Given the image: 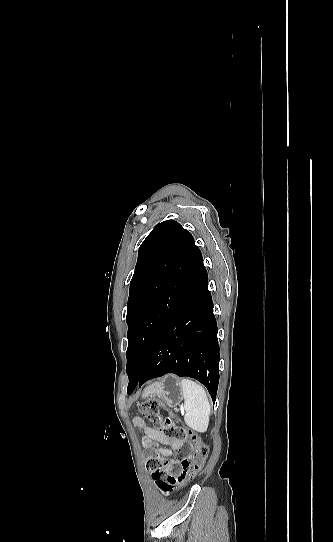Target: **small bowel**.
Returning <instances> with one entry per match:
<instances>
[{
    "instance_id": "obj_1",
    "label": "small bowel",
    "mask_w": 333,
    "mask_h": 542,
    "mask_svg": "<svg viewBox=\"0 0 333 542\" xmlns=\"http://www.w3.org/2000/svg\"><path fill=\"white\" fill-rule=\"evenodd\" d=\"M133 424L144 432L142 445L154 456L155 461L172 457L173 452L182 449L181 443L168 439L159 429L147 425L141 417H135ZM144 458L147 460L149 457L146 455ZM156 481L161 485L169 484L166 478Z\"/></svg>"
}]
</instances>
